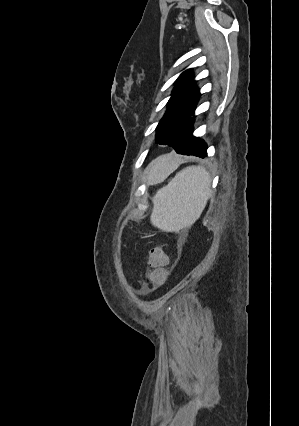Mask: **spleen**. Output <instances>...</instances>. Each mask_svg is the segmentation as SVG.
<instances>
[{
	"label": "spleen",
	"mask_w": 299,
	"mask_h": 426,
	"mask_svg": "<svg viewBox=\"0 0 299 426\" xmlns=\"http://www.w3.org/2000/svg\"><path fill=\"white\" fill-rule=\"evenodd\" d=\"M210 184V174L204 167L182 169L154 196L151 223L166 232L191 226L207 204Z\"/></svg>",
	"instance_id": "spleen-1"
}]
</instances>
